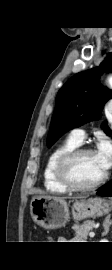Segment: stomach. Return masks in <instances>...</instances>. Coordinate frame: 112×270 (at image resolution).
<instances>
[{"label":"stomach","mask_w":112,"mask_h":270,"mask_svg":"<svg viewBox=\"0 0 112 270\" xmlns=\"http://www.w3.org/2000/svg\"><path fill=\"white\" fill-rule=\"evenodd\" d=\"M112 203L94 197L76 200L71 206L72 217L80 221L89 217H98L111 211ZM33 221L45 229H57L65 226L70 217L69 204L62 198L36 196L30 203Z\"/></svg>","instance_id":"0dacf381"}]
</instances>
